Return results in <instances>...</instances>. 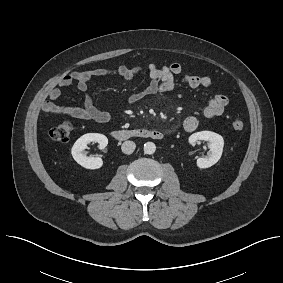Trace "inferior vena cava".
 Instances as JSON below:
<instances>
[{"label": "inferior vena cava", "mask_w": 283, "mask_h": 283, "mask_svg": "<svg viewBox=\"0 0 283 283\" xmlns=\"http://www.w3.org/2000/svg\"><path fill=\"white\" fill-rule=\"evenodd\" d=\"M136 148L133 141H125L121 146V150L124 154H132Z\"/></svg>", "instance_id": "obj_1"}]
</instances>
